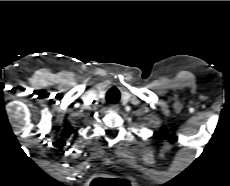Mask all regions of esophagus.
<instances>
[{
	"instance_id": "1",
	"label": "esophagus",
	"mask_w": 230,
	"mask_h": 186,
	"mask_svg": "<svg viewBox=\"0 0 230 186\" xmlns=\"http://www.w3.org/2000/svg\"><path fill=\"white\" fill-rule=\"evenodd\" d=\"M109 110L116 113L119 111V106L117 104H112L110 105Z\"/></svg>"
}]
</instances>
